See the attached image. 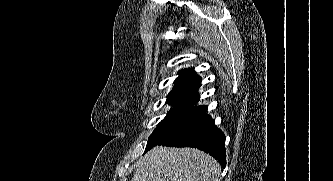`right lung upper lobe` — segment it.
<instances>
[{
  "mask_svg": "<svg viewBox=\"0 0 333 181\" xmlns=\"http://www.w3.org/2000/svg\"><path fill=\"white\" fill-rule=\"evenodd\" d=\"M179 77L175 80V87L167 97V103L173 104V108H187L194 110H207V106L194 107L199 101L196 94L197 88L201 86V79L195 76V71L189 69L180 71Z\"/></svg>",
  "mask_w": 333,
  "mask_h": 181,
  "instance_id": "right-lung-upper-lobe-1",
  "label": "right lung upper lobe"
}]
</instances>
